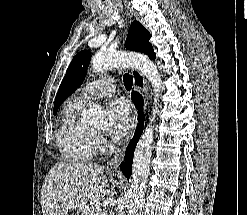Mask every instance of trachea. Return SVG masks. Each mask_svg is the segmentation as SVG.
I'll return each mask as SVG.
<instances>
[{
  "label": "trachea",
  "instance_id": "3493384b",
  "mask_svg": "<svg viewBox=\"0 0 247 215\" xmlns=\"http://www.w3.org/2000/svg\"><path fill=\"white\" fill-rule=\"evenodd\" d=\"M124 86L127 90H130L133 85V77L129 74H125L123 77Z\"/></svg>",
  "mask_w": 247,
  "mask_h": 215
}]
</instances>
